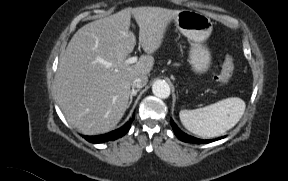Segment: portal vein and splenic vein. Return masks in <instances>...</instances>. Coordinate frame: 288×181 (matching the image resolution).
<instances>
[{
    "label": "portal vein and splenic vein",
    "mask_w": 288,
    "mask_h": 181,
    "mask_svg": "<svg viewBox=\"0 0 288 181\" xmlns=\"http://www.w3.org/2000/svg\"><path fill=\"white\" fill-rule=\"evenodd\" d=\"M135 62H137V56H133V57H130V58H128V59L125 60V63H126L127 65L133 64V63H135Z\"/></svg>",
    "instance_id": "1"
}]
</instances>
